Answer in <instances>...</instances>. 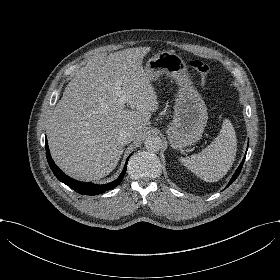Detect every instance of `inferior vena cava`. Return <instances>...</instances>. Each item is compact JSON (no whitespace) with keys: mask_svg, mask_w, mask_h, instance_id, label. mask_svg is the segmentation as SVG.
<instances>
[{"mask_svg":"<svg viewBox=\"0 0 280 280\" xmlns=\"http://www.w3.org/2000/svg\"><path fill=\"white\" fill-rule=\"evenodd\" d=\"M118 138L123 143H131L132 140L135 138V134L132 133L131 131L120 130L119 133H118Z\"/></svg>","mask_w":280,"mask_h":280,"instance_id":"obj_1","label":"inferior vena cava"}]
</instances>
